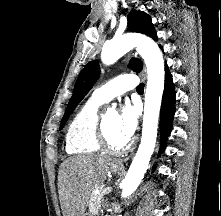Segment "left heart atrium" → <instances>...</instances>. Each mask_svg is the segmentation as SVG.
Wrapping results in <instances>:
<instances>
[{
	"mask_svg": "<svg viewBox=\"0 0 221 216\" xmlns=\"http://www.w3.org/2000/svg\"><path fill=\"white\" fill-rule=\"evenodd\" d=\"M139 112L136 106L126 104L122 112L119 114V127L122 135L126 139H130L138 125Z\"/></svg>",
	"mask_w": 221,
	"mask_h": 216,
	"instance_id": "1",
	"label": "left heart atrium"
}]
</instances>
